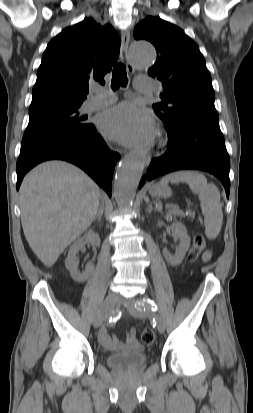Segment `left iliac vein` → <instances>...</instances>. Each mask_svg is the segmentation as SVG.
I'll return each instance as SVG.
<instances>
[{
	"mask_svg": "<svg viewBox=\"0 0 253 413\" xmlns=\"http://www.w3.org/2000/svg\"><path fill=\"white\" fill-rule=\"evenodd\" d=\"M128 311L133 315L134 317L137 318H144V317H150L154 316L156 323H157V330L160 333H163L165 330V323L163 319L156 314H153L150 312L145 306L142 305L141 300L134 299L133 300V305L128 307Z\"/></svg>",
	"mask_w": 253,
	"mask_h": 413,
	"instance_id": "obj_1",
	"label": "left iliac vein"
}]
</instances>
